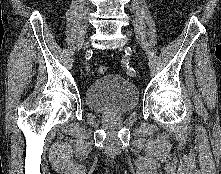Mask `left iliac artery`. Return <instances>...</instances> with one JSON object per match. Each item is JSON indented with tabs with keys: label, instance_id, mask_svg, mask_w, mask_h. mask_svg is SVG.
I'll list each match as a JSON object with an SVG mask.
<instances>
[{
	"label": "left iliac artery",
	"instance_id": "1",
	"mask_svg": "<svg viewBox=\"0 0 221 174\" xmlns=\"http://www.w3.org/2000/svg\"><path fill=\"white\" fill-rule=\"evenodd\" d=\"M121 63L127 70V74L133 76L136 74V70L130 66V58L127 55H123L121 58Z\"/></svg>",
	"mask_w": 221,
	"mask_h": 174
}]
</instances>
